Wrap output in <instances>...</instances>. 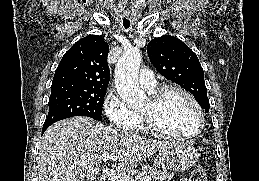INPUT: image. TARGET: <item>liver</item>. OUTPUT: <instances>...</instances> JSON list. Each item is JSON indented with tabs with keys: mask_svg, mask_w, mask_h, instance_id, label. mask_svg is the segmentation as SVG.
<instances>
[{
	"mask_svg": "<svg viewBox=\"0 0 259 181\" xmlns=\"http://www.w3.org/2000/svg\"><path fill=\"white\" fill-rule=\"evenodd\" d=\"M170 144L89 117L68 118L50 126L41 139L39 181H97L104 156H110L115 172L123 174Z\"/></svg>",
	"mask_w": 259,
	"mask_h": 181,
	"instance_id": "liver-1",
	"label": "liver"
}]
</instances>
